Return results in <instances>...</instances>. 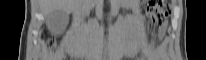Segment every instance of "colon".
<instances>
[{"mask_svg": "<svg viewBox=\"0 0 206 60\" xmlns=\"http://www.w3.org/2000/svg\"><path fill=\"white\" fill-rule=\"evenodd\" d=\"M170 13V6L164 0L149 2L146 14L155 23H163L165 18ZM52 53H55V49L51 48Z\"/></svg>", "mask_w": 206, "mask_h": 60, "instance_id": "obj_1", "label": "colon"}]
</instances>
